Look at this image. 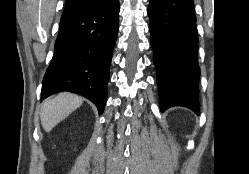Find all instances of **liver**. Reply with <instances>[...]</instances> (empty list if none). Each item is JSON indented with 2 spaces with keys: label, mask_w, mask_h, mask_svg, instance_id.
Listing matches in <instances>:
<instances>
[{
  "label": "liver",
  "mask_w": 249,
  "mask_h": 174,
  "mask_svg": "<svg viewBox=\"0 0 249 174\" xmlns=\"http://www.w3.org/2000/svg\"><path fill=\"white\" fill-rule=\"evenodd\" d=\"M82 102L83 100L79 95L68 92L45 100L40 112L43 129L46 132L51 131L58 123L79 108Z\"/></svg>",
  "instance_id": "obj_1"
}]
</instances>
